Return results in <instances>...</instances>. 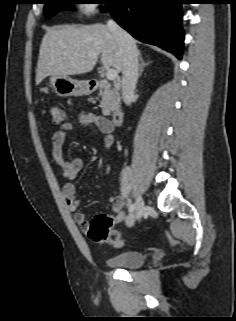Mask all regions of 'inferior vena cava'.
<instances>
[{"label":"inferior vena cava","instance_id":"1","mask_svg":"<svg viewBox=\"0 0 236 321\" xmlns=\"http://www.w3.org/2000/svg\"><path fill=\"white\" fill-rule=\"evenodd\" d=\"M107 26L117 39L124 53L122 98L126 105H130L133 101L134 90L138 79L139 52L133 38L114 20H109Z\"/></svg>","mask_w":236,"mask_h":321}]
</instances>
